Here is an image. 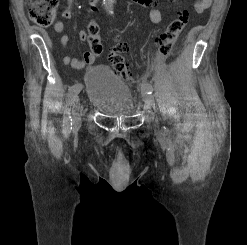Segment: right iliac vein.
<instances>
[{
  "label": "right iliac vein",
  "mask_w": 247,
  "mask_h": 245,
  "mask_svg": "<svg viewBox=\"0 0 247 245\" xmlns=\"http://www.w3.org/2000/svg\"><path fill=\"white\" fill-rule=\"evenodd\" d=\"M80 99L79 96H76L73 102L72 115H73V126L78 127L81 123L80 117Z\"/></svg>",
  "instance_id": "1"
}]
</instances>
